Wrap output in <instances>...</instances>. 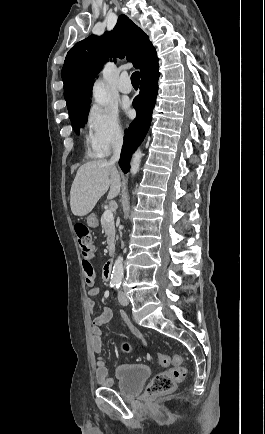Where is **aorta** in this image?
<instances>
[{
	"mask_svg": "<svg viewBox=\"0 0 265 434\" xmlns=\"http://www.w3.org/2000/svg\"><path fill=\"white\" fill-rule=\"evenodd\" d=\"M93 98H95L96 104H100V106H106V104H108V96L106 94L104 82H100V80H97V82H95L93 86ZM142 156L143 154H141L140 150H137V152L133 154L130 170L131 174H137ZM123 276V258L122 256H118L113 266L111 280L112 282H115V284H117V282H122Z\"/></svg>",
	"mask_w": 265,
	"mask_h": 434,
	"instance_id": "1",
	"label": "aorta"
}]
</instances>
